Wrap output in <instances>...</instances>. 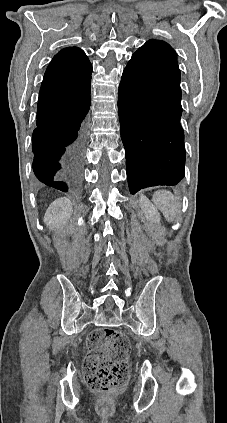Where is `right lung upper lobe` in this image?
I'll return each instance as SVG.
<instances>
[{
  "mask_svg": "<svg viewBox=\"0 0 227 423\" xmlns=\"http://www.w3.org/2000/svg\"><path fill=\"white\" fill-rule=\"evenodd\" d=\"M92 65L80 48L68 47L50 62L42 81L39 97L66 100L90 94Z\"/></svg>",
  "mask_w": 227,
  "mask_h": 423,
  "instance_id": "1",
  "label": "right lung upper lobe"
}]
</instances>
